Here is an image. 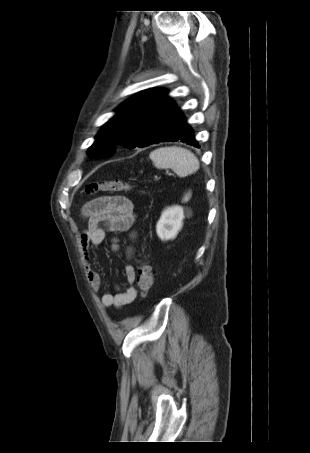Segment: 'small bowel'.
Returning <instances> with one entry per match:
<instances>
[{
	"label": "small bowel",
	"mask_w": 310,
	"mask_h": 453,
	"mask_svg": "<svg viewBox=\"0 0 310 453\" xmlns=\"http://www.w3.org/2000/svg\"><path fill=\"white\" fill-rule=\"evenodd\" d=\"M82 216L86 221V229L81 234L80 242L84 256V266L87 280L95 292L100 291L107 285L103 282L101 275L92 268L90 246H99L108 232L129 233V240L132 242L136 239V232L133 226L136 220L134 206L130 199L125 196H101L87 202L82 208ZM114 249L118 244L113 239ZM126 263L124 266L125 277L128 287L125 291L117 293L105 292L101 297V304L104 308L116 307L121 308L132 303L137 291L134 287L136 271L131 263L134 257V247L128 244L125 247Z\"/></svg>",
	"instance_id": "1"
}]
</instances>
